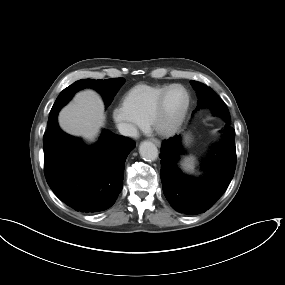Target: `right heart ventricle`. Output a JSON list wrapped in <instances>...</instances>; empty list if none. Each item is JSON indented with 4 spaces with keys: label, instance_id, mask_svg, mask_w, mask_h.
Wrapping results in <instances>:
<instances>
[{
    "label": "right heart ventricle",
    "instance_id": "1",
    "mask_svg": "<svg viewBox=\"0 0 285 285\" xmlns=\"http://www.w3.org/2000/svg\"><path fill=\"white\" fill-rule=\"evenodd\" d=\"M167 86L136 85L126 92L123 102L139 121L146 123L151 110Z\"/></svg>",
    "mask_w": 285,
    "mask_h": 285
}]
</instances>
